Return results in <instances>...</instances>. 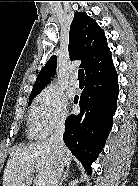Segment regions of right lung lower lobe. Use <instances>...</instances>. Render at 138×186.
<instances>
[{
	"label": "right lung lower lobe",
	"instance_id": "98d812e1",
	"mask_svg": "<svg viewBox=\"0 0 138 186\" xmlns=\"http://www.w3.org/2000/svg\"><path fill=\"white\" fill-rule=\"evenodd\" d=\"M119 94L118 76L111 74L102 78L87 79L79 102V115L66 120L64 143L83 164L88 174L105 145L112 128V117L117 108Z\"/></svg>",
	"mask_w": 138,
	"mask_h": 186
}]
</instances>
